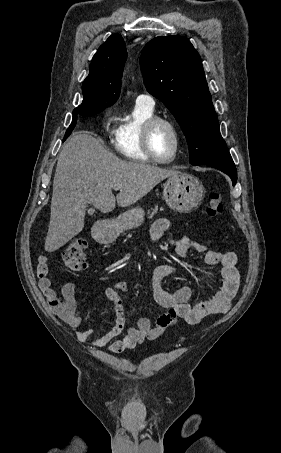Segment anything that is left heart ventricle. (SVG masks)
Returning a JSON list of instances; mask_svg holds the SVG:
<instances>
[{"mask_svg": "<svg viewBox=\"0 0 281 453\" xmlns=\"http://www.w3.org/2000/svg\"><path fill=\"white\" fill-rule=\"evenodd\" d=\"M174 138L171 132L164 126L158 128L154 136V149L156 154L162 158L167 159L173 152Z\"/></svg>", "mask_w": 281, "mask_h": 453, "instance_id": "obj_1", "label": "left heart ventricle"}]
</instances>
